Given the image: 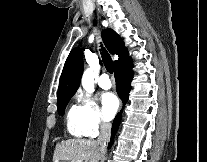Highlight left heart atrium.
Instances as JSON below:
<instances>
[{
  "instance_id": "obj_1",
  "label": "left heart atrium",
  "mask_w": 207,
  "mask_h": 162,
  "mask_svg": "<svg viewBox=\"0 0 207 162\" xmlns=\"http://www.w3.org/2000/svg\"><path fill=\"white\" fill-rule=\"evenodd\" d=\"M102 113L106 120H110L119 107V100L115 94L108 92L101 98Z\"/></svg>"
}]
</instances>
